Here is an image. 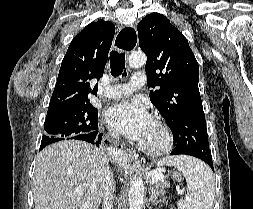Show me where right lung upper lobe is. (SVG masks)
I'll list each match as a JSON object with an SVG mask.
<instances>
[{
	"label": "right lung upper lobe",
	"instance_id": "1",
	"mask_svg": "<svg viewBox=\"0 0 253 209\" xmlns=\"http://www.w3.org/2000/svg\"><path fill=\"white\" fill-rule=\"evenodd\" d=\"M115 34L110 22L87 25L70 43L62 61L47 115L65 108L92 106L88 94L97 95V85L89 83L104 72Z\"/></svg>",
	"mask_w": 253,
	"mask_h": 209
}]
</instances>
